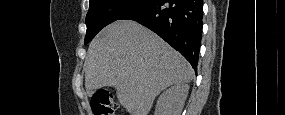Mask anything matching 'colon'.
I'll return each mask as SVG.
<instances>
[{
    "mask_svg": "<svg viewBox=\"0 0 285 115\" xmlns=\"http://www.w3.org/2000/svg\"><path fill=\"white\" fill-rule=\"evenodd\" d=\"M91 108L95 115H113L117 105L108 92L99 91L91 100Z\"/></svg>",
    "mask_w": 285,
    "mask_h": 115,
    "instance_id": "obj_1",
    "label": "colon"
}]
</instances>
